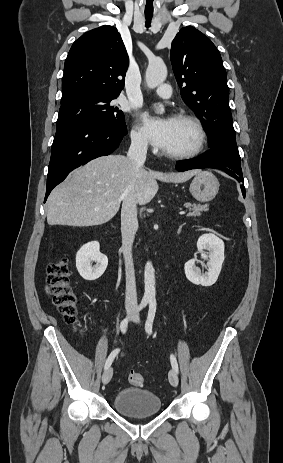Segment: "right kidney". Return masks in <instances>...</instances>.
<instances>
[{
    "label": "right kidney",
    "instance_id": "right-kidney-1",
    "mask_svg": "<svg viewBox=\"0 0 283 463\" xmlns=\"http://www.w3.org/2000/svg\"><path fill=\"white\" fill-rule=\"evenodd\" d=\"M99 242L93 241L83 245L76 254V268L80 276L93 281L102 276L108 265V258L99 251ZM96 265L92 267L91 262Z\"/></svg>",
    "mask_w": 283,
    "mask_h": 463
}]
</instances>
